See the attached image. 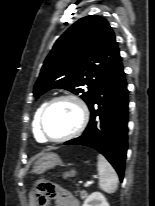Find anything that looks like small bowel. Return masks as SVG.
<instances>
[{
    "label": "small bowel",
    "instance_id": "1",
    "mask_svg": "<svg viewBox=\"0 0 155 206\" xmlns=\"http://www.w3.org/2000/svg\"><path fill=\"white\" fill-rule=\"evenodd\" d=\"M53 199L56 206H80L78 199L62 187L54 186ZM37 206L39 205L37 204Z\"/></svg>",
    "mask_w": 155,
    "mask_h": 206
}]
</instances>
